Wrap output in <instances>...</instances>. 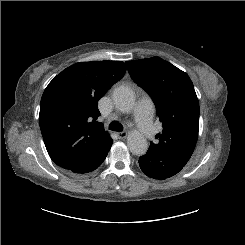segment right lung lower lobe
<instances>
[{
	"label": "right lung lower lobe",
	"instance_id": "98d812e1",
	"mask_svg": "<svg viewBox=\"0 0 245 245\" xmlns=\"http://www.w3.org/2000/svg\"><path fill=\"white\" fill-rule=\"evenodd\" d=\"M112 143H113V140L109 138L102 145H100L85 162H83L81 165L71 170H68V171L76 175H82V174L89 173L95 170L105 160L112 146Z\"/></svg>",
	"mask_w": 245,
	"mask_h": 245
}]
</instances>
